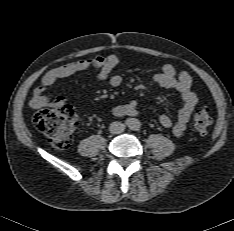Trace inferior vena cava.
Wrapping results in <instances>:
<instances>
[{
	"mask_svg": "<svg viewBox=\"0 0 234 231\" xmlns=\"http://www.w3.org/2000/svg\"><path fill=\"white\" fill-rule=\"evenodd\" d=\"M109 130L112 134H120L125 130V125L121 122L115 121L110 124Z\"/></svg>",
	"mask_w": 234,
	"mask_h": 231,
	"instance_id": "1",
	"label": "inferior vena cava"
}]
</instances>
